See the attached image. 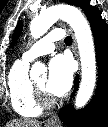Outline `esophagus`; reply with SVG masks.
I'll return each instance as SVG.
<instances>
[{
    "instance_id": "obj_1",
    "label": "esophagus",
    "mask_w": 108,
    "mask_h": 127,
    "mask_svg": "<svg viewBox=\"0 0 108 127\" xmlns=\"http://www.w3.org/2000/svg\"><path fill=\"white\" fill-rule=\"evenodd\" d=\"M76 48H77L76 47V40L73 36V50L75 53H76ZM59 124H60V121H59V118L57 115L50 117L46 122L47 127H59Z\"/></svg>"
}]
</instances>
